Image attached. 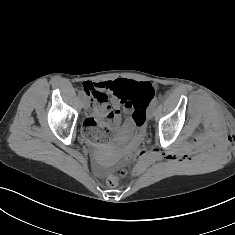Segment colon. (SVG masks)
Here are the masks:
<instances>
[{"instance_id": "obj_1", "label": "colon", "mask_w": 235, "mask_h": 235, "mask_svg": "<svg viewBox=\"0 0 235 235\" xmlns=\"http://www.w3.org/2000/svg\"><path fill=\"white\" fill-rule=\"evenodd\" d=\"M123 95L126 96L128 100L132 101V105L134 106L135 109L133 113V119L135 121L136 126L140 129L141 132H143L146 124V113L144 107L140 103V99L142 97L152 98L154 96L153 87L148 83L136 84L133 82H129L127 84V90ZM98 123L100 127L105 126V123L101 120ZM124 175H125V170L122 168H119L111 172L106 178L108 186L110 187L117 186L120 179Z\"/></svg>"}]
</instances>
